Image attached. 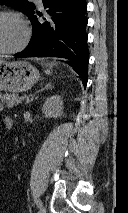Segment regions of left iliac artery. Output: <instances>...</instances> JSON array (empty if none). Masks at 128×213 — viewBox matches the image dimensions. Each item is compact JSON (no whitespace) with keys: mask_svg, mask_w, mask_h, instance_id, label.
<instances>
[{"mask_svg":"<svg viewBox=\"0 0 128 213\" xmlns=\"http://www.w3.org/2000/svg\"><path fill=\"white\" fill-rule=\"evenodd\" d=\"M34 202H35V204H36L38 207L41 206V201H40L39 199L34 198Z\"/></svg>","mask_w":128,"mask_h":213,"instance_id":"left-iliac-artery-1","label":"left iliac artery"}]
</instances>
